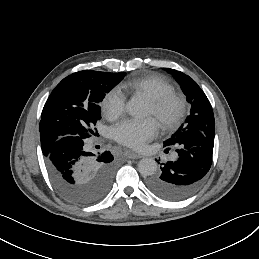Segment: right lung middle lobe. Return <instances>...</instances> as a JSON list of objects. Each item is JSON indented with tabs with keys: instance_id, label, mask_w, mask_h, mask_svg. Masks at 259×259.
I'll list each match as a JSON object with an SVG mask.
<instances>
[{
	"instance_id": "obj_1",
	"label": "right lung middle lobe",
	"mask_w": 259,
	"mask_h": 259,
	"mask_svg": "<svg viewBox=\"0 0 259 259\" xmlns=\"http://www.w3.org/2000/svg\"><path fill=\"white\" fill-rule=\"evenodd\" d=\"M124 76V72H101L80 80L76 85L78 99L72 100V106L67 113L50 122L49 135L57 141L68 137L70 142L86 140L95 135L94 127L101 119L99 103Z\"/></svg>"
}]
</instances>
